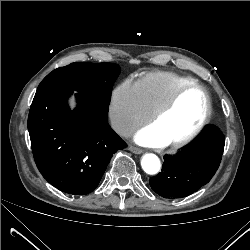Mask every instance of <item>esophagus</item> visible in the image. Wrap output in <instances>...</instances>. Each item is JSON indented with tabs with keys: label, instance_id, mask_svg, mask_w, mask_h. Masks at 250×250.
<instances>
[{
	"label": "esophagus",
	"instance_id": "esophagus-1",
	"mask_svg": "<svg viewBox=\"0 0 250 250\" xmlns=\"http://www.w3.org/2000/svg\"><path fill=\"white\" fill-rule=\"evenodd\" d=\"M128 150H130L131 152L135 154H141L143 152L142 149L135 147V146H129Z\"/></svg>",
	"mask_w": 250,
	"mask_h": 250
}]
</instances>
